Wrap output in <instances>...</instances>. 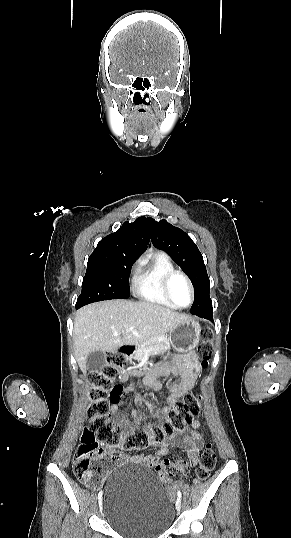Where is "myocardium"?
<instances>
[{"mask_svg":"<svg viewBox=\"0 0 291 538\" xmlns=\"http://www.w3.org/2000/svg\"><path fill=\"white\" fill-rule=\"evenodd\" d=\"M177 276L182 277L185 280V282L187 283L188 287H189L190 301L186 306L177 305L174 302V300L172 298V295H171V283H172V280ZM163 290H164V294H165V297L167 298V300L177 309H186V308L190 307L194 302V298H195L194 286L192 284V281L188 277V275L186 273H184L183 271L174 270V271L168 273L164 277V280H163Z\"/></svg>","mask_w":291,"mask_h":538,"instance_id":"1","label":"myocardium"}]
</instances>
